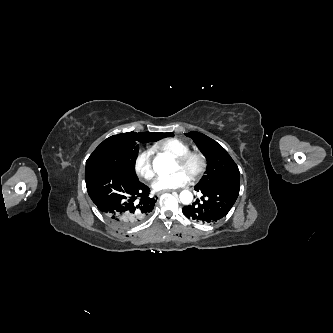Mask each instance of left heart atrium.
I'll return each instance as SVG.
<instances>
[{"instance_id":"left-heart-atrium-1","label":"left heart atrium","mask_w":333,"mask_h":333,"mask_svg":"<svg viewBox=\"0 0 333 333\" xmlns=\"http://www.w3.org/2000/svg\"><path fill=\"white\" fill-rule=\"evenodd\" d=\"M189 181V176L182 170H178L170 176L158 177L152 184L155 191L176 189L185 186Z\"/></svg>"}]
</instances>
